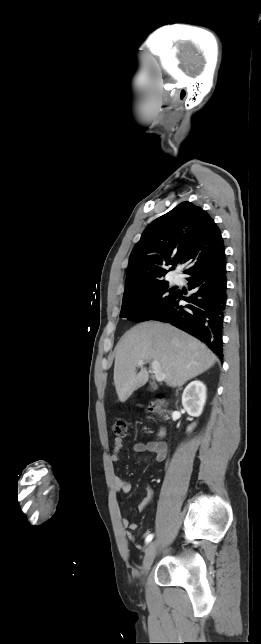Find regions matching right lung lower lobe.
I'll return each instance as SVG.
<instances>
[{"instance_id":"obj_1","label":"right lung lower lobe","mask_w":261,"mask_h":644,"mask_svg":"<svg viewBox=\"0 0 261 644\" xmlns=\"http://www.w3.org/2000/svg\"><path fill=\"white\" fill-rule=\"evenodd\" d=\"M190 275L189 290L197 289L190 297L179 290L174 300L153 320L168 322L204 342L220 359L223 357L222 331L227 300L225 256L221 259L184 271ZM184 300L189 305L182 306Z\"/></svg>"}]
</instances>
